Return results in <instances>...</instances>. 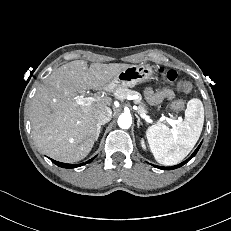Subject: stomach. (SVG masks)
Wrapping results in <instances>:
<instances>
[{"label": "stomach", "instance_id": "stomach-1", "mask_svg": "<svg viewBox=\"0 0 231 231\" xmlns=\"http://www.w3.org/2000/svg\"><path fill=\"white\" fill-rule=\"evenodd\" d=\"M153 71L149 65H130L120 71L112 80L113 89L116 87H134L152 78ZM143 108H146L143 106Z\"/></svg>", "mask_w": 231, "mask_h": 231}]
</instances>
